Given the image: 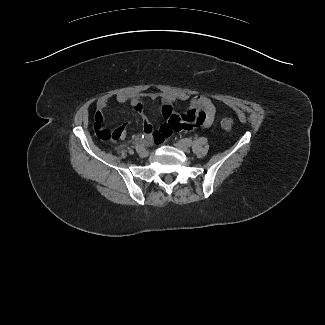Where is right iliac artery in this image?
Segmentation results:
<instances>
[{"label":"right iliac artery","instance_id":"1","mask_svg":"<svg viewBox=\"0 0 325 325\" xmlns=\"http://www.w3.org/2000/svg\"><path fill=\"white\" fill-rule=\"evenodd\" d=\"M135 148H136V151L138 152V151H140L141 149H143L144 147L141 146V145H136Z\"/></svg>","mask_w":325,"mask_h":325}]
</instances>
